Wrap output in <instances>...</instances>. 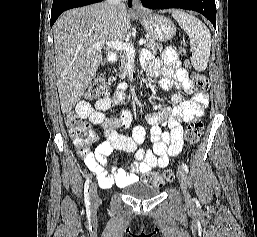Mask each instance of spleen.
<instances>
[{"label":"spleen","instance_id":"1","mask_svg":"<svg viewBox=\"0 0 257 237\" xmlns=\"http://www.w3.org/2000/svg\"><path fill=\"white\" fill-rule=\"evenodd\" d=\"M171 13L189 36L192 51L191 62L194 69L204 71L207 68L211 50L210 31L200 20L192 15L179 10H173Z\"/></svg>","mask_w":257,"mask_h":237}]
</instances>
